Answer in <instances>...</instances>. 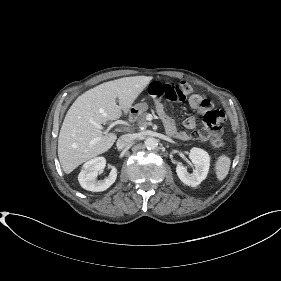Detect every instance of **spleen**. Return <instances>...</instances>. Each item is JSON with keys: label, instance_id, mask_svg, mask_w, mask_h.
<instances>
[{"label": "spleen", "instance_id": "spleen-1", "mask_svg": "<svg viewBox=\"0 0 281 281\" xmlns=\"http://www.w3.org/2000/svg\"><path fill=\"white\" fill-rule=\"evenodd\" d=\"M231 165V160L226 155H221L218 157L216 163H215V173L217 176V179L219 181H222L227 176L229 169Z\"/></svg>", "mask_w": 281, "mask_h": 281}]
</instances>
